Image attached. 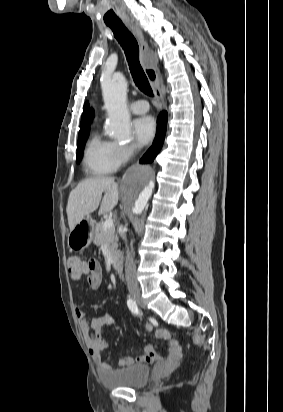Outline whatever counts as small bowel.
I'll return each instance as SVG.
<instances>
[{
	"label": "small bowel",
	"instance_id": "1",
	"mask_svg": "<svg viewBox=\"0 0 283 412\" xmlns=\"http://www.w3.org/2000/svg\"><path fill=\"white\" fill-rule=\"evenodd\" d=\"M87 284L92 290L100 288L103 281V273L101 266L96 262V269L87 273ZM75 314L80 322L82 332L85 336L86 343L89 347L90 354L98 365L100 373L104 374L111 370V366L103 358V351L109 348L108 342L100 335V330L110 326L115 319L111 313L103 314L90 319L87 313L80 307L75 308ZM145 329L148 332L153 330L151 323L145 324ZM155 335L159 338H164L168 341L167 361H175L180 357L181 347L178 342L171 339L169 333L165 330H157ZM159 357L154 351L152 345H147L141 355L135 357H126L119 360V365L122 367L129 366L133 363H150L158 360Z\"/></svg>",
	"mask_w": 283,
	"mask_h": 412
}]
</instances>
